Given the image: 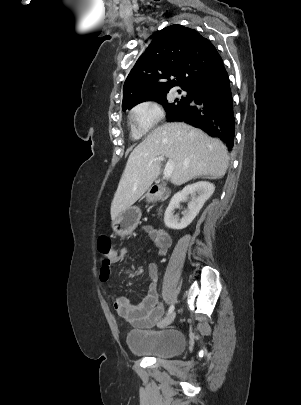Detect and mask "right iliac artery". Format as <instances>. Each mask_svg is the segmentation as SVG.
I'll return each mask as SVG.
<instances>
[{
  "label": "right iliac artery",
  "instance_id": "1",
  "mask_svg": "<svg viewBox=\"0 0 301 405\" xmlns=\"http://www.w3.org/2000/svg\"><path fill=\"white\" fill-rule=\"evenodd\" d=\"M173 310H174V306L171 305V306L169 307V309H168L167 315L171 314V313L173 312Z\"/></svg>",
  "mask_w": 301,
  "mask_h": 405
}]
</instances>
